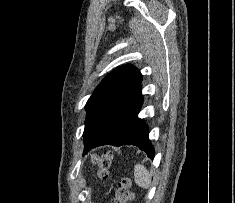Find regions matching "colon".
Returning <instances> with one entry per match:
<instances>
[{
    "label": "colon",
    "mask_w": 235,
    "mask_h": 203,
    "mask_svg": "<svg viewBox=\"0 0 235 203\" xmlns=\"http://www.w3.org/2000/svg\"><path fill=\"white\" fill-rule=\"evenodd\" d=\"M111 161V154L105 153L93 157V163L97 167V175L101 179H106L108 176V167ZM134 198L132 192V183L129 178H123L119 182L115 198L112 203H129Z\"/></svg>",
    "instance_id": "1"
}]
</instances>
